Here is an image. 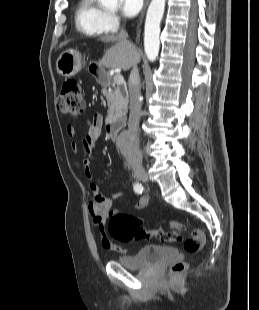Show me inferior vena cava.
<instances>
[{
	"label": "inferior vena cava",
	"mask_w": 259,
	"mask_h": 310,
	"mask_svg": "<svg viewBox=\"0 0 259 310\" xmlns=\"http://www.w3.org/2000/svg\"><path fill=\"white\" fill-rule=\"evenodd\" d=\"M119 38L122 39L124 42L131 44L127 38L128 34L124 29H121L119 32ZM129 93H130V114H129V121H128V128L129 132L133 135H137L139 120L141 116V102H140V76L137 67V63L133 65L129 76ZM131 162L133 164L141 165L142 163V154L136 145L131 154Z\"/></svg>",
	"instance_id": "obj_1"
}]
</instances>
